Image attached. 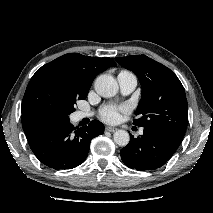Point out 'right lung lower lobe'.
Listing matches in <instances>:
<instances>
[{"instance_id":"98d812e1","label":"right lung lower lobe","mask_w":213,"mask_h":213,"mask_svg":"<svg viewBox=\"0 0 213 213\" xmlns=\"http://www.w3.org/2000/svg\"><path fill=\"white\" fill-rule=\"evenodd\" d=\"M22 126L35 156L55 170L83 163L91 140L104 133V125L98 120L76 130L69 120L33 112H22Z\"/></svg>"}]
</instances>
